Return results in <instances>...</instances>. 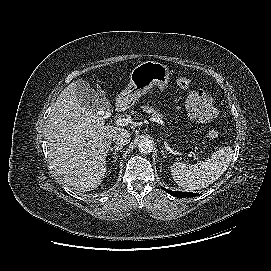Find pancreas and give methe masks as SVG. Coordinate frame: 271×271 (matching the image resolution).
<instances>
[{"mask_svg": "<svg viewBox=\"0 0 271 271\" xmlns=\"http://www.w3.org/2000/svg\"><path fill=\"white\" fill-rule=\"evenodd\" d=\"M142 109H143L145 112L151 114V115L156 119V121H158V122L161 121L162 114H161L159 111L154 110L152 107H150V106H148V105H147V106H142Z\"/></svg>", "mask_w": 271, "mask_h": 271, "instance_id": "pancreas-1", "label": "pancreas"}]
</instances>
